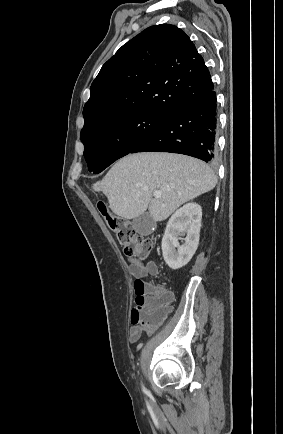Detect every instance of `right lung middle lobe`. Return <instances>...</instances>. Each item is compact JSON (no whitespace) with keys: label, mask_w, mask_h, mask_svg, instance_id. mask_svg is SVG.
<instances>
[{"label":"right lung middle lobe","mask_w":283,"mask_h":434,"mask_svg":"<svg viewBox=\"0 0 283 434\" xmlns=\"http://www.w3.org/2000/svg\"><path fill=\"white\" fill-rule=\"evenodd\" d=\"M171 115L149 110L128 112L81 131L89 171L100 173L129 154Z\"/></svg>","instance_id":"obj_1"}]
</instances>
